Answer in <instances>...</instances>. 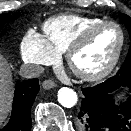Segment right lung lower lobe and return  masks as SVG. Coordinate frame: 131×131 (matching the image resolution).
I'll return each mask as SVG.
<instances>
[{
	"label": "right lung lower lobe",
	"mask_w": 131,
	"mask_h": 131,
	"mask_svg": "<svg viewBox=\"0 0 131 131\" xmlns=\"http://www.w3.org/2000/svg\"><path fill=\"white\" fill-rule=\"evenodd\" d=\"M38 91L37 78L29 79L15 89L10 121L0 131H30V111Z\"/></svg>",
	"instance_id": "obj_1"
}]
</instances>
